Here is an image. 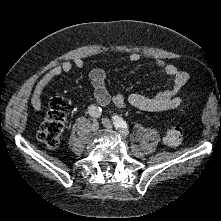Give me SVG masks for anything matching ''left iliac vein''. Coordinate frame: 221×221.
Returning <instances> with one entry per match:
<instances>
[{
  "label": "left iliac vein",
  "mask_w": 221,
  "mask_h": 221,
  "mask_svg": "<svg viewBox=\"0 0 221 221\" xmlns=\"http://www.w3.org/2000/svg\"><path fill=\"white\" fill-rule=\"evenodd\" d=\"M102 124L108 128V129H112L113 125L111 123V121L108 118H102ZM119 131V130H118ZM122 135V134H121Z\"/></svg>",
  "instance_id": "left-iliac-vein-1"
}]
</instances>
